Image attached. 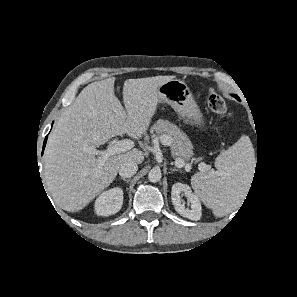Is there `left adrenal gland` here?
<instances>
[{"label": "left adrenal gland", "instance_id": "left-adrenal-gland-1", "mask_svg": "<svg viewBox=\"0 0 297 297\" xmlns=\"http://www.w3.org/2000/svg\"><path fill=\"white\" fill-rule=\"evenodd\" d=\"M171 171H180L178 168H170Z\"/></svg>", "mask_w": 297, "mask_h": 297}]
</instances>
